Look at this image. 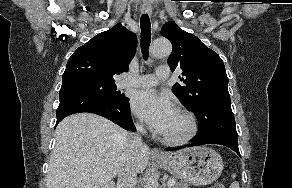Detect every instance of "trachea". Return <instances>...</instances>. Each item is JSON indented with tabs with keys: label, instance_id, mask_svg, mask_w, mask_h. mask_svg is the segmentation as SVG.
Returning a JSON list of instances; mask_svg holds the SVG:
<instances>
[{
	"label": "trachea",
	"instance_id": "3493384b",
	"mask_svg": "<svg viewBox=\"0 0 292 188\" xmlns=\"http://www.w3.org/2000/svg\"><path fill=\"white\" fill-rule=\"evenodd\" d=\"M141 50L144 59L148 58V49L151 43V23L148 14H143L140 19Z\"/></svg>",
	"mask_w": 292,
	"mask_h": 188
}]
</instances>
